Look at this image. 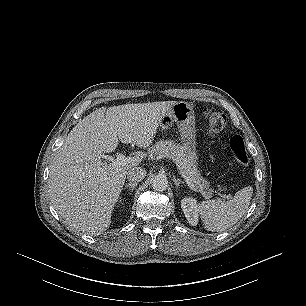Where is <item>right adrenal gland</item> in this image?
<instances>
[{
    "mask_svg": "<svg viewBox=\"0 0 306 306\" xmlns=\"http://www.w3.org/2000/svg\"><path fill=\"white\" fill-rule=\"evenodd\" d=\"M137 186V183H128L125 185V188H129L133 192L134 188Z\"/></svg>",
    "mask_w": 306,
    "mask_h": 306,
    "instance_id": "1",
    "label": "right adrenal gland"
}]
</instances>
